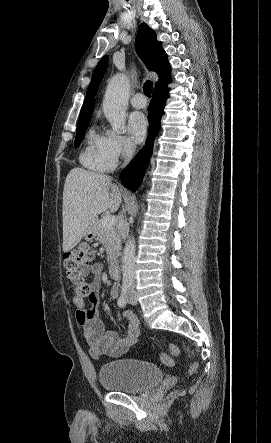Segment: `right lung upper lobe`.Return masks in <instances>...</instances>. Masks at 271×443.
Returning a JSON list of instances; mask_svg holds the SVG:
<instances>
[{
    "label": "right lung upper lobe",
    "mask_w": 271,
    "mask_h": 443,
    "mask_svg": "<svg viewBox=\"0 0 271 443\" xmlns=\"http://www.w3.org/2000/svg\"><path fill=\"white\" fill-rule=\"evenodd\" d=\"M136 49L148 69L158 74L159 81L157 86L170 82V67L167 55L161 46V42L157 40L156 33L145 23L139 26L136 37ZM107 64L108 56L103 57L98 62L87 89L79 120L91 117L94 108V96L104 76Z\"/></svg>",
    "instance_id": "cb5924a9"
}]
</instances>
